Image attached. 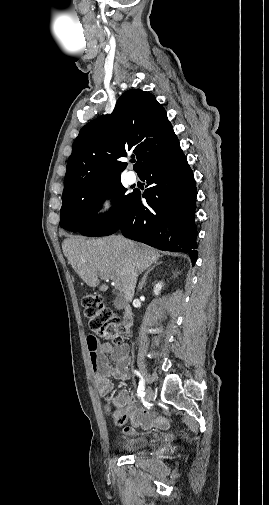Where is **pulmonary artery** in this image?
Instances as JSON below:
<instances>
[{
  "label": "pulmonary artery",
  "instance_id": "pulmonary-artery-1",
  "mask_svg": "<svg viewBox=\"0 0 269 505\" xmlns=\"http://www.w3.org/2000/svg\"><path fill=\"white\" fill-rule=\"evenodd\" d=\"M126 180L129 184H133L136 182L137 180V177L135 175V173L133 171H129L127 174H126Z\"/></svg>",
  "mask_w": 269,
  "mask_h": 505
}]
</instances>
